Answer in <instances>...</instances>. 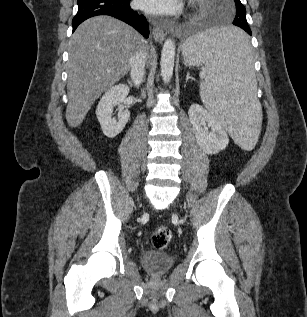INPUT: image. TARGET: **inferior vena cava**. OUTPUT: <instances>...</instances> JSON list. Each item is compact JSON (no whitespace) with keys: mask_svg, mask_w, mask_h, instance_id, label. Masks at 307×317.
<instances>
[{"mask_svg":"<svg viewBox=\"0 0 307 317\" xmlns=\"http://www.w3.org/2000/svg\"><path fill=\"white\" fill-rule=\"evenodd\" d=\"M145 62L146 52L143 49L136 53L130 60L131 79L136 87L143 81Z\"/></svg>","mask_w":307,"mask_h":317,"instance_id":"602c4592","label":"inferior vena cava"}]
</instances>
